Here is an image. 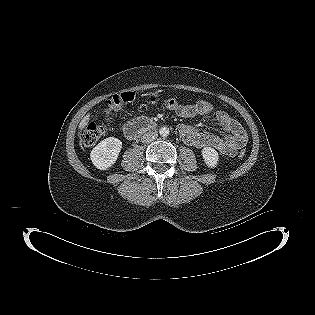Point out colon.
<instances>
[{
  "label": "colon",
  "instance_id": "5ec220e1",
  "mask_svg": "<svg viewBox=\"0 0 315 315\" xmlns=\"http://www.w3.org/2000/svg\"><path fill=\"white\" fill-rule=\"evenodd\" d=\"M136 99L135 92L126 91L113 95L105 109V118L108 120L113 111L119 109L122 105L133 102ZM181 103L175 98H169L164 101V105L168 109L177 108ZM106 122L102 123H89L81 132H80V144L83 148H89L95 145L99 139L105 134L106 131ZM248 152L244 148H240L236 152L238 159L243 160L247 157Z\"/></svg>",
  "mask_w": 315,
  "mask_h": 315
}]
</instances>
